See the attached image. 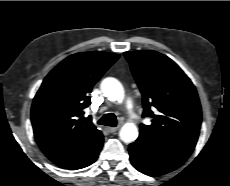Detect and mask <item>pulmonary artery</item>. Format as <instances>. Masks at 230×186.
I'll return each mask as SVG.
<instances>
[{"instance_id": "1", "label": "pulmonary artery", "mask_w": 230, "mask_h": 186, "mask_svg": "<svg viewBox=\"0 0 230 186\" xmlns=\"http://www.w3.org/2000/svg\"><path fill=\"white\" fill-rule=\"evenodd\" d=\"M126 106H127V108L129 110H131L132 109V103H131V101H128L127 104H126Z\"/></svg>"}]
</instances>
